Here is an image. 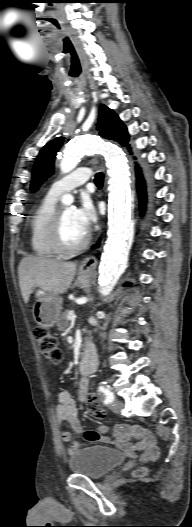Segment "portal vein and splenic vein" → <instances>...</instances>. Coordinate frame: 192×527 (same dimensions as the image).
<instances>
[{"label":"portal vein and splenic vein","instance_id":"1","mask_svg":"<svg viewBox=\"0 0 192 527\" xmlns=\"http://www.w3.org/2000/svg\"><path fill=\"white\" fill-rule=\"evenodd\" d=\"M74 318H75V313H74L73 311H70V312L68 313L67 319L71 321V320H73Z\"/></svg>","mask_w":192,"mask_h":527}]
</instances>
